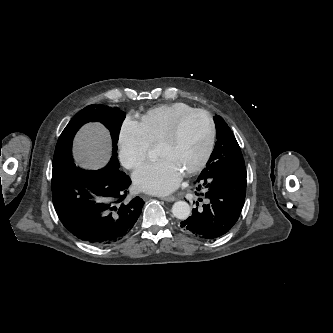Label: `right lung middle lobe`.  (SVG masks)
Masks as SVG:
<instances>
[{
    "label": "right lung middle lobe",
    "instance_id": "dd1d6c3e",
    "mask_svg": "<svg viewBox=\"0 0 333 333\" xmlns=\"http://www.w3.org/2000/svg\"><path fill=\"white\" fill-rule=\"evenodd\" d=\"M125 118V112L118 108L102 105H89L79 111L68 123L60 135L54 153L53 166L66 164L71 161L72 140L76 132L85 123L101 122L111 132L113 141V155H117V142L121 124Z\"/></svg>",
    "mask_w": 333,
    "mask_h": 333
}]
</instances>
